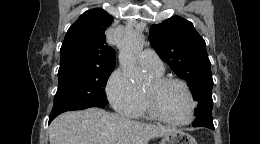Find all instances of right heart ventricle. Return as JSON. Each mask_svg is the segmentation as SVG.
<instances>
[{"mask_svg": "<svg viewBox=\"0 0 260 144\" xmlns=\"http://www.w3.org/2000/svg\"><path fill=\"white\" fill-rule=\"evenodd\" d=\"M149 71V70H148ZM154 77H160L162 73H155V72H151L149 71ZM137 92L139 94L140 97V103L137 107V109L134 111V113L131 115L132 117H141L144 116L148 111H147V106L145 103V99H144V92L143 90L136 88Z\"/></svg>", "mask_w": 260, "mask_h": 144, "instance_id": "right-heart-ventricle-1", "label": "right heart ventricle"}]
</instances>
